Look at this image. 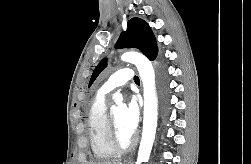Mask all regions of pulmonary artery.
I'll list each match as a JSON object with an SVG mask.
<instances>
[{"label":"pulmonary artery","mask_w":251,"mask_h":164,"mask_svg":"<svg viewBox=\"0 0 251 164\" xmlns=\"http://www.w3.org/2000/svg\"><path fill=\"white\" fill-rule=\"evenodd\" d=\"M134 79V72L130 68H123L112 74L101 87V93L107 94Z\"/></svg>","instance_id":"pulmonary-artery-1"}]
</instances>
